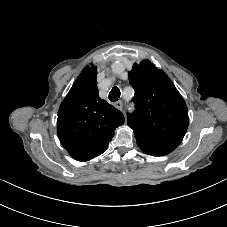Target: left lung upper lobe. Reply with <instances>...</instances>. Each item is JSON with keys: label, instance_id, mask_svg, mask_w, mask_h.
Here are the masks:
<instances>
[{"label": "left lung upper lobe", "instance_id": "left-lung-upper-lobe-1", "mask_svg": "<svg viewBox=\"0 0 227 227\" xmlns=\"http://www.w3.org/2000/svg\"><path fill=\"white\" fill-rule=\"evenodd\" d=\"M129 82L135 90V111L128 115V125L179 145L188 128V110L169 77L149 60H143L133 65Z\"/></svg>", "mask_w": 227, "mask_h": 227}]
</instances>
